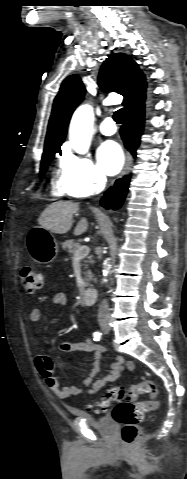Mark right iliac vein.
<instances>
[{"label":"right iliac vein","instance_id":"obj_1","mask_svg":"<svg viewBox=\"0 0 187 479\" xmlns=\"http://www.w3.org/2000/svg\"><path fill=\"white\" fill-rule=\"evenodd\" d=\"M101 328H102L103 330H106V329L108 328V323H107V322L101 323Z\"/></svg>","mask_w":187,"mask_h":479}]
</instances>
